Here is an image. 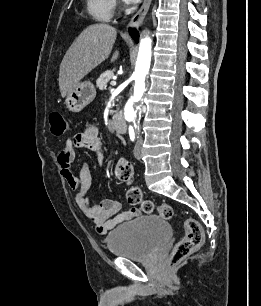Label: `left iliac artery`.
Returning a JSON list of instances; mask_svg holds the SVG:
<instances>
[{
	"instance_id": "1",
	"label": "left iliac artery",
	"mask_w": 261,
	"mask_h": 306,
	"mask_svg": "<svg viewBox=\"0 0 261 306\" xmlns=\"http://www.w3.org/2000/svg\"><path fill=\"white\" fill-rule=\"evenodd\" d=\"M130 138L133 141L134 140V134H130Z\"/></svg>"
}]
</instances>
